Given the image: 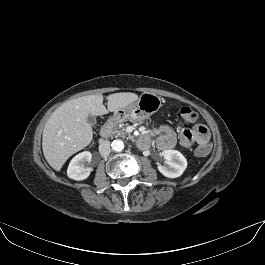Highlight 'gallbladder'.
<instances>
[{
  "mask_svg": "<svg viewBox=\"0 0 265 265\" xmlns=\"http://www.w3.org/2000/svg\"><path fill=\"white\" fill-rule=\"evenodd\" d=\"M86 120L90 125H95L97 122L96 118L93 115H88Z\"/></svg>",
  "mask_w": 265,
  "mask_h": 265,
  "instance_id": "bac80fb5",
  "label": "gallbladder"
}]
</instances>
